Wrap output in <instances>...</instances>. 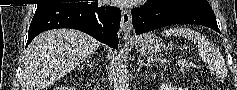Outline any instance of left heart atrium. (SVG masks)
<instances>
[{"instance_id":"obj_1","label":"left heart atrium","mask_w":237,"mask_h":90,"mask_svg":"<svg viewBox=\"0 0 237 90\" xmlns=\"http://www.w3.org/2000/svg\"><path fill=\"white\" fill-rule=\"evenodd\" d=\"M114 7H137L138 3H145L146 0H114Z\"/></svg>"}]
</instances>
